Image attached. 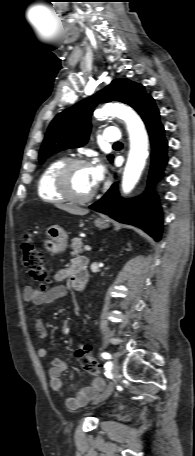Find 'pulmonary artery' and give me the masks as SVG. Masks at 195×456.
Masks as SVG:
<instances>
[{
  "mask_svg": "<svg viewBox=\"0 0 195 456\" xmlns=\"http://www.w3.org/2000/svg\"><path fill=\"white\" fill-rule=\"evenodd\" d=\"M103 138L107 142H118L120 141L121 134L115 127H109L104 131Z\"/></svg>",
  "mask_w": 195,
  "mask_h": 456,
  "instance_id": "obj_1",
  "label": "pulmonary artery"
}]
</instances>
